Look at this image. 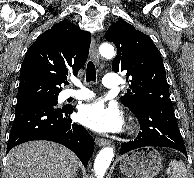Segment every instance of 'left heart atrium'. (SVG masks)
Wrapping results in <instances>:
<instances>
[{
  "instance_id": "39dd6f15",
  "label": "left heart atrium",
  "mask_w": 194,
  "mask_h": 178,
  "mask_svg": "<svg viewBox=\"0 0 194 178\" xmlns=\"http://www.w3.org/2000/svg\"><path fill=\"white\" fill-rule=\"evenodd\" d=\"M79 121L98 133L119 132L123 128V118L115 106H105L102 102L84 105L78 112Z\"/></svg>"
}]
</instances>
